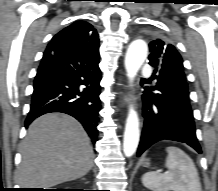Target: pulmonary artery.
I'll use <instances>...</instances> for the list:
<instances>
[{
    "label": "pulmonary artery",
    "mask_w": 218,
    "mask_h": 191,
    "mask_svg": "<svg viewBox=\"0 0 218 191\" xmlns=\"http://www.w3.org/2000/svg\"><path fill=\"white\" fill-rule=\"evenodd\" d=\"M141 75L144 77H149L152 75V68L150 66H144L141 70Z\"/></svg>",
    "instance_id": "1"
}]
</instances>
